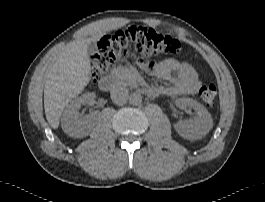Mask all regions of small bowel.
<instances>
[{
  "mask_svg": "<svg viewBox=\"0 0 265 202\" xmlns=\"http://www.w3.org/2000/svg\"><path fill=\"white\" fill-rule=\"evenodd\" d=\"M147 72L160 80L169 82V86H153L156 93L167 96H184L194 94L200 87V81L195 69L188 63L176 58L160 61Z\"/></svg>",
  "mask_w": 265,
  "mask_h": 202,
  "instance_id": "c3829d8e",
  "label": "small bowel"
}]
</instances>
